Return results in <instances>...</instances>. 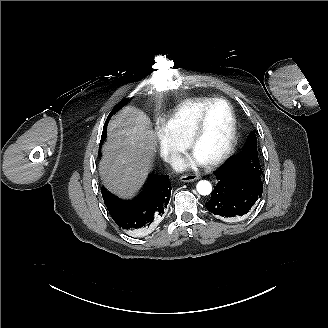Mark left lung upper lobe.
<instances>
[{
	"instance_id": "left-lung-upper-lobe-1",
	"label": "left lung upper lobe",
	"mask_w": 328,
	"mask_h": 328,
	"mask_svg": "<svg viewBox=\"0 0 328 328\" xmlns=\"http://www.w3.org/2000/svg\"><path fill=\"white\" fill-rule=\"evenodd\" d=\"M230 161H236L240 164L247 165L253 170L257 169V173L261 176L262 169L258 160L257 138L254 132L250 134L242 152L239 155L233 156Z\"/></svg>"
}]
</instances>
